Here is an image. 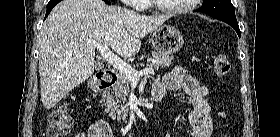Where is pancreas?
Here are the masks:
<instances>
[{"label": "pancreas", "instance_id": "1", "mask_svg": "<svg viewBox=\"0 0 280 137\" xmlns=\"http://www.w3.org/2000/svg\"><path fill=\"white\" fill-rule=\"evenodd\" d=\"M152 58L153 61L150 63V67L157 70L169 67L173 59L169 55H161L155 52L152 53ZM141 66H144V64H141ZM129 92L130 80L124 74L120 73L118 81L113 87V91L107 92L104 96L106 101L103 106H105L106 111L112 119L117 117L118 121L121 119L124 121L127 120L130 109L129 105L126 104V98L129 96ZM121 102H123V104H121Z\"/></svg>", "mask_w": 280, "mask_h": 137}]
</instances>
